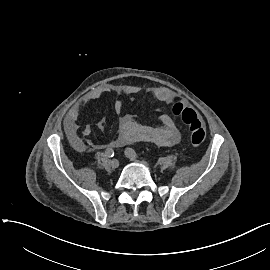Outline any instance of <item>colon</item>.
Listing matches in <instances>:
<instances>
[{
	"mask_svg": "<svg viewBox=\"0 0 270 270\" xmlns=\"http://www.w3.org/2000/svg\"><path fill=\"white\" fill-rule=\"evenodd\" d=\"M172 112L188 126L191 146L200 148L205 140V129L196 111L182 102H177L173 105Z\"/></svg>",
	"mask_w": 270,
	"mask_h": 270,
	"instance_id": "colon-1",
	"label": "colon"
}]
</instances>
